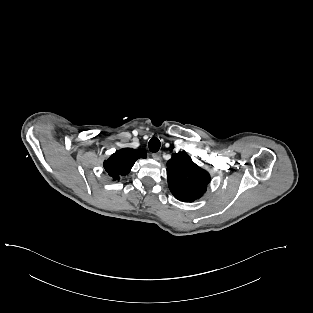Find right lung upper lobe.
Masks as SVG:
<instances>
[{
    "label": "right lung upper lobe",
    "mask_w": 313,
    "mask_h": 313,
    "mask_svg": "<svg viewBox=\"0 0 313 313\" xmlns=\"http://www.w3.org/2000/svg\"><path fill=\"white\" fill-rule=\"evenodd\" d=\"M139 158H146V152L141 149L124 148L116 151L108 160L104 161V168L113 181L127 175Z\"/></svg>",
    "instance_id": "1"
}]
</instances>
